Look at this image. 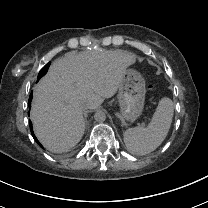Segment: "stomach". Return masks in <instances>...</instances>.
I'll list each match as a JSON object with an SVG mask.
<instances>
[{
    "instance_id": "0dacf381",
    "label": "stomach",
    "mask_w": 208,
    "mask_h": 208,
    "mask_svg": "<svg viewBox=\"0 0 208 208\" xmlns=\"http://www.w3.org/2000/svg\"><path fill=\"white\" fill-rule=\"evenodd\" d=\"M145 81L133 70H128L119 85V115L126 122H136L142 116L145 103Z\"/></svg>"
}]
</instances>
